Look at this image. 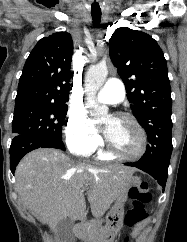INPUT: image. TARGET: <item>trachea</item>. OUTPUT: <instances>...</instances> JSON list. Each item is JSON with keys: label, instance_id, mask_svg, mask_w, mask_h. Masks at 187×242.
Here are the masks:
<instances>
[{"label": "trachea", "instance_id": "obj_1", "mask_svg": "<svg viewBox=\"0 0 187 242\" xmlns=\"http://www.w3.org/2000/svg\"><path fill=\"white\" fill-rule=\"evenodd\" d=\"M91 15L93 18V26L96 28L101 20V12H92Z\"/></svg>", "mask_w": 187, "mask_h": 242}]
</instances>
